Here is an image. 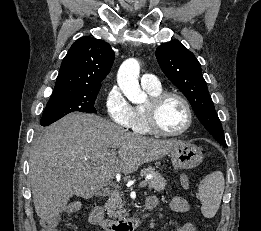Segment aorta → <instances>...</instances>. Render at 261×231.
<instances>
[{
    "label": "aorta",
    "mask_w": 261,
    "mask_h": 231,
    "mask_svg": "<svg viewBox=\"0 0 261 231\" xmlns=\"http://www.w3.org/2000/svg\"><path fill=\"white\" fill-rule=\"evenodd\" d=\"M140 65L136 59L125 60L120 66L117 74V83L122 93L132 103H142L147 95L141 90L138 77Z\"/></svg>",
    "instance_id": "762f6f07"
}]
</instances>
